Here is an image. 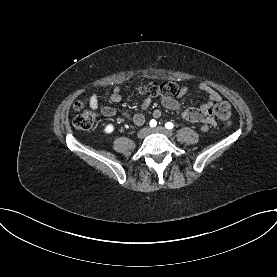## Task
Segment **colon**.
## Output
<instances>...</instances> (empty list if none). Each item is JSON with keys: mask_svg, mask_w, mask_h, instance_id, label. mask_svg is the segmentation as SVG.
Segmentation results:
<instances>
[{"mask_svg": "<svg viewBox=\"0 0 277 277\" xmlns=\"http://www.w3.org/2000/svg\"><path fill=\"white\" fill-rule=\"evenodd\" d=\"M140 92L151 97L173 98L179 94V88L172 82H152L142 86ZM84 106L85 103L83 101H78L75 104V110L81 111L84 109ZM214 112L224 124L227 126L231 125V108L227 102L217 104L214 108ZM96 118V112L92 110H83L74 118L73 125L78 130H89L94 125Z\"/></svg>", "mask_w": 277, "mask_h": 277, "instance_id": "1", "label": "colon"}]
</instances>
